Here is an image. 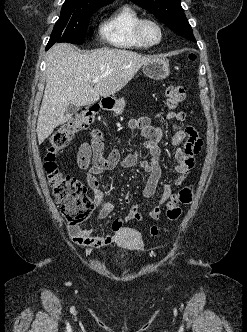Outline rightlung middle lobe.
Wrapping results in <instances>:
<instances>
[{
    "mask_svg": "<svg viewBox=\"0 0 247 332\" xmlns=\"http://www.w3.org/2000/svg\"><path fill=\"white\" fill-rule=\"evenodd\" d=\"M102 6L105 4L65 2L47 45L52 46L56 42L82 44L91 16Z\"/></svg>",
    "mask_w": 247,
    "mask_h": 332,
    "instance_id": "right-lung-middle-lobe-1",
    "label": "right lung middle lobe"
}]
</instances>
